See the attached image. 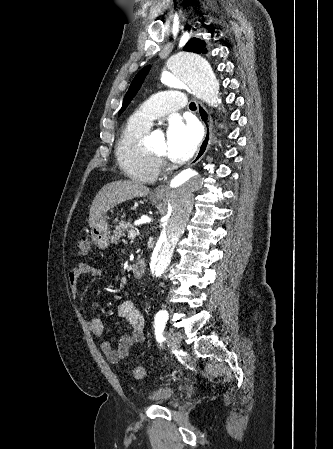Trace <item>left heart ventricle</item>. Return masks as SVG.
Returning <instances> with one entry per match:
<instances>
[{
    "label": "left heart ventricle",
    "mask_w": 333,
    "mask_h": 449,
    "mask_svg": "<svg viewBox=\"0 0 333 449\" xmlns=\"http://www.w3.org/2000/svg\"><path fill=\"white\" fill-rule=\"evenodd\" d=\"M152 151L159 155H166L167 154V148H166V141L163 139H160L156 145L152 148Z\"/></svg>",
    "instance_id": "1"
}]
</instances>
